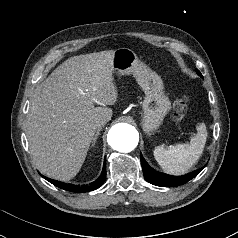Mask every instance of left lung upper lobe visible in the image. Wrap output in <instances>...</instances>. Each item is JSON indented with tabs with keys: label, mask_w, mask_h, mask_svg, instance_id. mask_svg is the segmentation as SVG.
I'll list each match as a JSON object with an SVG mask.
<instances>
[{
	"label": "left lung upper lobe",
	"mask_w": 238,
	"mask_h": 238,
	"mask_svg": "<svg viewBox=\"0 0 238 238\" xmlns=\"http://www.w3.org/2000/svg\"><path fill=\"white\" fill-rule=\"evenodd\" d=\"M197 73H198L200 76H202L199 70H197Z\"/></svg>",
	"instance_id": "5c2ea615"
}]
</instances>
